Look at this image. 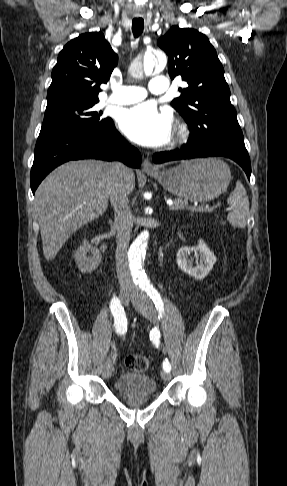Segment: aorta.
I'll return each mask as SVG.
<instances>
[{
    "label": "aorta",
    "instance_id": "obj_1",
    "mask_svg": "<svg viewBox=\"0 0 287 486\" xmlns=\"http://www.w3.org/2000/svg\"><path fill=\"white\" fill-rule=\"evenodd\" d=\"M165 65L166 57L163 56L156 59L155 56H150L144 62V71L145 73H150L154 68L160 69ZM149 236V231L147 229L143 230L133 241L128 251V259L132 273L136 278H138L139 283L144 286L150 285V282L142 269V262L146 253Z\"/></svg>",
    "mask_w": 287,
    "mask_h": 486
}]
</instances>
